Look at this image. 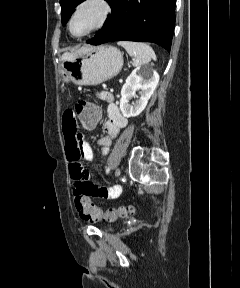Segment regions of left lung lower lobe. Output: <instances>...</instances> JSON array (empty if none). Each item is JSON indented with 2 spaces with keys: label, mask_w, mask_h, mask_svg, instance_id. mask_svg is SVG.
<instances>
[{
  "label": "left lung lower lobe",
  "mask_w": 240,
  "mask_h": 288,
  "mask_svg": "<svg viewBox=\"0 0 240 288\" xmlns=\"http://www.w3.org/2000/svg\"><path fill=\"white\" fill-rule=\"evenodd\" d=\"M176 0H113L112 14L88 44L153 42L170 52Z\"/></svg>",
  "instance_id": "left-lung-lower-lobe-1"
}]
</instances>
